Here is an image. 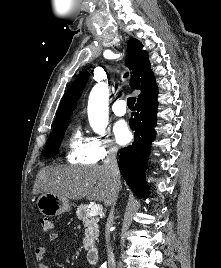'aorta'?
Masks as SVG:
<instances>
[{
  "mask_svg": "<svg viewBox=\"0 0 221 268\" xmlns=\"http://www.w3.org/2000/svg\"><path fill=\"white\" fill-rule=\"evenodd\" d=\"M109 88L106 83L96 84L89 95L88 118L91 128L99 135H104L108 125Z\"/></svg>",
  "mask_w": 221,
  "mask_h": 268,
  "instance_id": "1",
  "label": "aorta"
}]
</instances>
